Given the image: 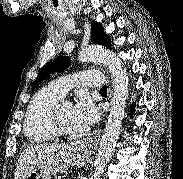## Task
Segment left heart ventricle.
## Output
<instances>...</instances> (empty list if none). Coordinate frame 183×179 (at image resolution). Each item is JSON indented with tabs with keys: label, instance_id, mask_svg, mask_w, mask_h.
<instances>
[{
	"label": "left heart ventricle",
	"instance_id": "obj_1",
	"mask_svg": "<svg viewBox=\"0 0 183 179\" xmlns=\"http://www.w3.org/2000/svg\"><path fill=\"white\" fill-rule=\"evenodd\" d=\"M72 108L71 104H63L59 110V125L66 131L74 132V126L72 122Z\"/></svg>",
	"mask_w": 183,
	"mask_h": 179
}]
</instances>
